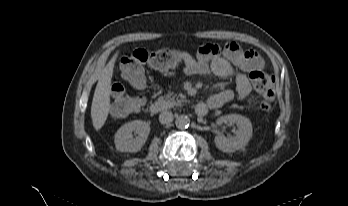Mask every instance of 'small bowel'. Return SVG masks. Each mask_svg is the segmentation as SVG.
I'll return each mask as SVG.
<instances>
[{
  "label": "small bowel",
  "instance_id": "small-bowel-1",
  "mask_svg": "<svg viewBox=\"0 0 348 206\" xmlns=\"http://www.w3.org/2000/svg\"><path fill=\"white\" fill-rule=\"evenodd\" d=\"M183 56V70L188 75L212 72L220 78L234 80V90H224L211 96V109H218L229 102L247 98L251 93V84L244 72L259 70L264 66L257 52L245 49L233 41L228 42L223 49L205 44L198 48L195 56L188 53H184Z\"/></svg>",
  "mask_w": 348,
  "mask_h": 206
}]
</instances>
